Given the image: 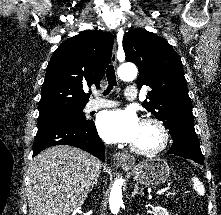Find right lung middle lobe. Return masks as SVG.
<instances>
[{
  "mask_svg": "<svg viewBox=\"0 0 221 215\" xmlns=\"http://www.w3.org/2000/svg\"><path fill=\"white\" fill-rule=\"evenodd\" d=\"M83 109L84 107L76 109V110L64 112V113L39 116L38 128L57 124V123L86 122L87 120H86L85 114L83 113Z\"/></svg>",
  "mask_w": 221,
  "mask_h": 215,
  "instance_id": "right-lung-middle-lobe-1",
  "label": "right lung middle lobe"
}]
</instances>
